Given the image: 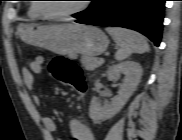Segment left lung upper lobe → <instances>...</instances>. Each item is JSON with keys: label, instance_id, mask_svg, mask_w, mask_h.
<instances>
[{"label": "left lung upper lobe", "instance_id": "1", "mask_svg": "<svg viewBox=\"0 0 182 140\" xmlns=\"http://www.w3.org/2000/svg\"><path fill=\"white\" fill-rule=\"evenodd\" d=\"M94 2V4L93 5H91V7H90V9L96 4V2L98 1V0H93ZM89 10V9H88ZM88 10H86V11H88ZM86 11H83V12H81L80 14H83V13H85Z\"/></svg>", "mask_w": 182, "mask_h": 140}]
</instances>
